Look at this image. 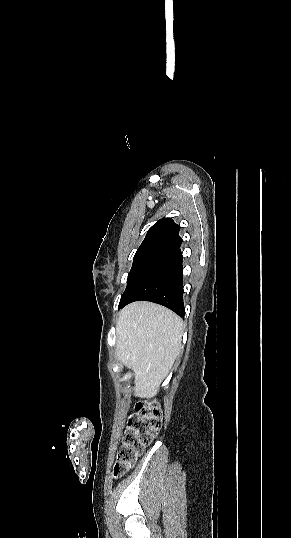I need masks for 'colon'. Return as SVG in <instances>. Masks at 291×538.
Listing matches in <instances>:
<instances>
[{
	"mask_svg": "<svg viewBox=\"0 0 291 538\" xmlns=\"http://www.w3.org/2000/svg\"><path fill=\"white\" fill-rule=\"evenodd\" d=\"M162 410L154 402H139L128 421L124 442L113 468L114 478L128 471L152 442L162 425Z\"/></svg>",
	"mask_w": 291,
	"mask_h": 538,
	"instance_id": "obj_1",
	"label": "colon"
}]
</instances>
